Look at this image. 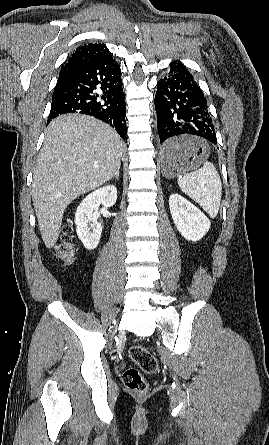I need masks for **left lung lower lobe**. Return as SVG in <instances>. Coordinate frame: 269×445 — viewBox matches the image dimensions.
Listing matches in <instances>:
<instances>
[{
	"label": "left lung lower lobe",
	"instance_id": "left-lung-lower-lobe-1",
	"mask_svg": "<svg viewBox=\"0 0 269 445\" xmlns=\"http://www.w3.org/2000/svg\"><path fill=\"white\" fill-rule=\"evenodd\" d=\"M157 126L165 155L181 150L176 137L194 135L217 143L207 100L193 76L179 61L170 63L169 75L157 83Z\"/></svg>",
	"mask_w": 269,
	"mask_h": 445
}]
</instances>
